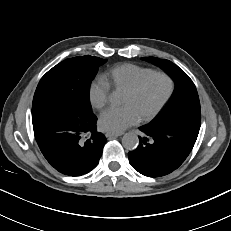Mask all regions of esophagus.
<instances>
[{"instance_id":"34e87169","label":"esophagus","mask_w":231,"mask_h":231,"mask_svg":"<svg viewBox=\"0 0 231 231\" xmlns=\"http://www.w3.org/2000/svg\"><path fill=\"white\" fill-rule=\"evenodd\" d=\"M123 133H112V132H107L106 134H105V136L107 137V138H113V137H119V136H121Z\"/></svg>"}]
</instances>
